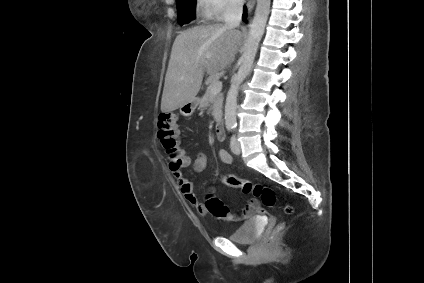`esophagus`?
Here are the masks:
<instances>
[{
    "label": "esophagus",
    "instance_id": "esophagus-1",
    "mask_svg": "<svg viewBox=\"0 0 424 283\" xmlns=\"http://www.w3.org/2000/svg\"><path fill=\"white\" fill-rule=\"evenodd\" d=\"M255 2H256V0H248L247 1V9H248L249 13L253 10Z\"/></svg>",
    "mask_w": 424,
    "mask_h": 283
}]
</instances>
